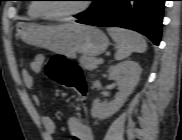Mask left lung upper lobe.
<instances>
[{
  "mask_svg": "<svg viewBox=\"0 0 182 140\" xmlns=\"http://www.w3.org/2000/svg\"><path fill=\"white\" fill-rule=\"evenodd\" d=\"M98 1H99V0H95L94 3L96 4ZM95 4H94V5H95ZM94 5H93V6H94ZM93 6H92V7H93ZM88 11H89V10H88ZM86 12H87V11L83 12L82 14H84V13H86Z\"/></svg>",
  "mask_w": 182,
  "mask_h": 140,
  "instance_id": "1",
  "label": "left lung upper lobe"
}]
</instances>
